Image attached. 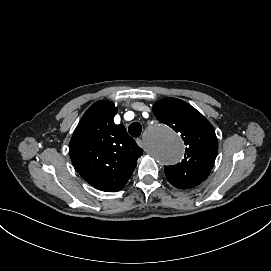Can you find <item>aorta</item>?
Instances as JSON below:
<instances>
[{"mask_svg": "<svg viewBox=\"0 0 271 271\" xmlns=\"http://www.w3.org/2000/svg\"><path fill=\"white\" fill-rule=\"evenodd\" d=\"M147 150L160 163H178L184 156V144L180 137L169 127L160 126L146 134Z\"/></svg>", "mask_w": 271, "mask_h": 271, "instance_id": "obj_1", "label": "aorta"}]
</instances>
